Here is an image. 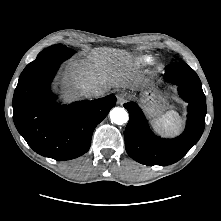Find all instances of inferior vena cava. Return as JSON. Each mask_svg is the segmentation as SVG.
<instances>
[{
  "label": "inferior vena cava",
  "mask_w": 221,
  "mask_h": 221,
  "mask_svg": "<svg viewBox=\"0 0 221 221\" xmlns=\"http://www.w3.org/2000/svg\"><path fill=\"white\" fill-rule=\"evenodd\" d=\"M103 93V90L98 86H87L83 89L82 95L86 98H97Z\"/></svg>",
  "instance_id": "1"
}]
</instances>
